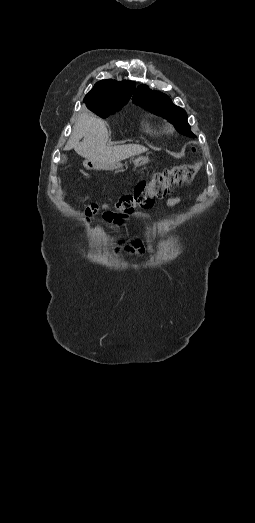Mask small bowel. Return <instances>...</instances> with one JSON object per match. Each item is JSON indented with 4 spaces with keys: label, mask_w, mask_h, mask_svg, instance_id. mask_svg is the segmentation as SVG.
Masks as SVG:
<instances>
[{
    "label": "small bowel",
    "mask_w": 255,
    "mask_h": 523,
    "mask_svg": "<svg viewBox=\"0 0 255 523\" xmlns=\"http://www.w3.org/2000/svg\"><path fill=\"white\" fill-rule=\"evenodd\" d=\"M181 203H182V200L177 197L169 198L166 201V205L168 207H174ZM134 216L139 219H146V220L150 219V216L143 212L134 213ZM145 250H148L149 252H154V248H153L150 237L147 238L146 247L139 238L134 237V238H132L131 244L129 246H125V247L116 249V253H118V255L127 254V255H132V256H141V255H143Z\"/></svg>",
    "instance_id": "obj_1"
}]
</instances>
